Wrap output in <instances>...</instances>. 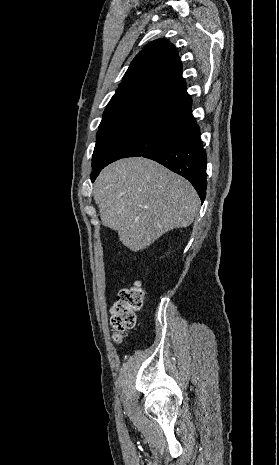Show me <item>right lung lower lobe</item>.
I'll return each mask as SVG.
<instances>
[{"instance_id": "right-lung-lower-lobe-1", "label": "right lung lower lobe", "mask_w": 279, "mask_h": 465, "mask_svg": "<svg viewBox=\"0 0 279 465\" xmlns=\"http://www.w3.org/2000/svg\"><path fill=\"white\" fill-rule=\"evenodd\" d=\"M143 157L157 161L185 177L196 189L201 201H204L207 186V159L200 139L199 126L192 115L180 124L176 134L167 143L143 155ZM103 168L99 167L93 170L92 181Z\"/></svg>"}]
</instances>
